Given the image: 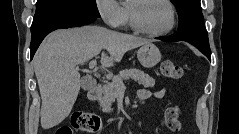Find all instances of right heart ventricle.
<instances>
[{"label":"right heart ventricle","instance_id":"right-heart-ventricle-1","mask_svg":"<svg viewBox=\"0 0 239 134\" xmlns=\"http://www.w3.org/2000/svg\"><path fill=\"white\" fill-rule=\"evenodd\" d=\"M128 4L123 7L124 9V22L123 24H128L129 23V14H128Z\"/></svg>","mask_w":239,"mask_h":134}]
</instances>
